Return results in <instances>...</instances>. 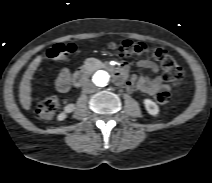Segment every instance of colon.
I'll use <instances>...</instances> for the list:
<instances>
[{"instance_id": "1", "label": "colon", "mask_w": 212, "mask_h": 183, "mask_svg": "<svg viewBox=\"0 0 212 183\" xmlns=\"http://www.w3.org/2000/svg\"><path fill=\"white\" fill-rule=\"evenodd\" d=\"M109 47L123 57L149 55L153 57L161 66L163 78L170 83H176L183 78V71L166 50L162 48H149L144 43H135L129 40L122 43H111ZM75 46L71 43H57L47 52L48 57L55 60H63L75 51ZM170 94L167 90L161 89L155 94V100L160 104L169 101ZM59 107V100L51 95L44 98L36 107V114L42 120H51L55 116Z\"/></svg>"}]
</instances>
